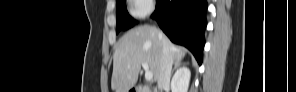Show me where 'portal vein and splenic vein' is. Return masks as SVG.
<instances>
[{
    "mask_svg": "<svg viewBox=\"0 0 296 92\" xmlns=\"http://www.w3.org/2000/svg\"><path fill=\"white\" fill-rule=\"evenodd\" d=\"M142 68L145 70V79L147 81H151L153 78V73L150 71L149 66L147 63H142Z\"/></svg>",
    "mask_w": 296,
    "mask_h": 92,
    "instance_id": "18ae733b",
    "label": "portal vein and splenic vein"
}]
</instances>
